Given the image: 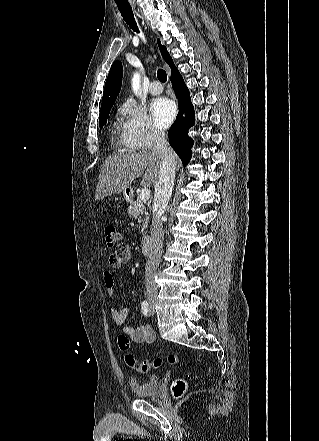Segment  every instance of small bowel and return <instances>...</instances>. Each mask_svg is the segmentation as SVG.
I'll list each match as a JSON object with an SVG mask.
<instances>
[{"label":"small bowel","instance_id":"obj_1","mask_svg":"<svg viewBox=\"0 0 319 441\" xmlns=\"http://www.w3.org/2000/svg\"><path fill=\"white\" fill-rule=\"evenodd\" d=\"M129 259H130V249L128 245L121 244L118 246V248L114 253L110 254L108 258V263L112 268L119 269L123 267L129 261ZM103 279L108 296L110 297L113 296L114 285H115V279L113 273L111 271H105L103 274ZM110 313L114 323L117 325H122L128 316V309L112 308L110 310ZM122 331L126 335H128L131 338V340L135 343L151 344L155 340L154 331L149 325H142L138 327L124 326L122 328Z\"/></svg>","mask_w":319,"mask_h":441}]
</instances>
